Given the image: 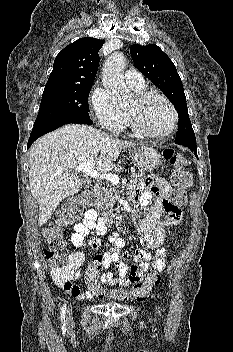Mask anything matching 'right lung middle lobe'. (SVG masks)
Here are the masks:
<instances>
[{"label": "right lung middle lobe", "instance_id": "right-lung-middle-lobe-1", "mask_svg": "<svg viewBox=\"0 0 233 352\" xmlns=\"http://www.w3.org/2000/svg\"><path fill=\"white\" fill-rule=\"evenodd\" d=\"M91 87L45 88L34 126L70 117L90 118L88 96Z\"/></svg>", "mask_w": 233, "mask_h": 352}]
</instances>
